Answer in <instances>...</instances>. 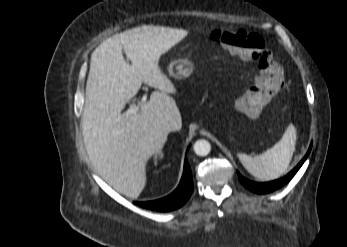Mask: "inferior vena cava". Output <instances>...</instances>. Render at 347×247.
I'll use <instances>...</instances> for the list:
<instances>
[{"label":"inferior vena cava","mask_w":347,"mask_h":247,"mask_svg":"<svg viewBox=\"0 0 347 247\" xmlns=\"http://www.w3.org/2000/svg\"><path fill=\"white\" fill-rule=\"evenodd\" d=\"M162 127L165 131L170 132L175 129V122L173 120L164 121Z\"/></svg>","instance_id":"602c4592"}]
</instances>
